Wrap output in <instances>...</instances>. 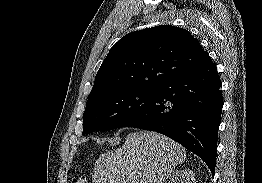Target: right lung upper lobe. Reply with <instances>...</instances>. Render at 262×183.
Wrapping results in <instances>:
<instances>
[{
	"label": "right lung upper lobe",
	"instance_id": "right-lung-upper-lobe-1",
	"mask_svg": "<svg viewBox=\"0 0 262 183\" xmlns=\"http://www.w3.org/2000/svg\"><path fill=\"white\" fill-rule=\"evenodd\" d=\"M210 61L199 41L185 29L162 25L131 32L110 49L88 100L130 88L157 89Z\"/></svg>",
	"mask_w": 262,
	"mask_h": 183
}]
</instances>
